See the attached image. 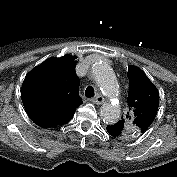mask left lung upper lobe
Returning a JSON list of instances; mask_svg holds the SVG:
<instances>
[{
    "label": "left lung upper lobe",
    "mask_w": 177,
    "mask_h": 177,
    "mask_svg": "<svg viewBox=\"0 0 177 177\" xmlns=\"http://www.w3.org/2000/svg\"><path fill=\"white\" fill-rule=\"evenodd\" d=\"M127 75L129 110L125 118L114 124L122 131L119 139L142 136L154 121L159 106V92L140 68L129 66Z\"/></svg>",
    "instance_id": "left-lung-upper-lobe-1"
}]
</instances>
